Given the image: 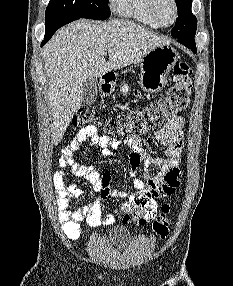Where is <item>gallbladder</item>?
<instances>
[{
	"instance_id": "bac80fb5",
	"label": "gallbladder",
	"mask_w": 233,
	"mask_h": 286,
	"mask_svg": "<svg viewBox=\"0 0 233 286\" xmlns=\"http://www.w3.org/2000/svg\"><path fill=\"white\" fill-rule=\"evenodd\" d=\"M98 94V79L89 77L82 85L83 103L91 105L95 102Z\"/></svg>"
}]
</instances>
